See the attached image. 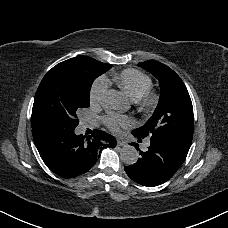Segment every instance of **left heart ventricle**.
Returning <instances> with one entry per match:
<instances>
[{
  "label": "left heart ventricle",
  "instance_id": "left-heart-ventricle-1",
  "mask_svg": "<svg viewBox=\"0 0 228 228\" xmlns=\"http://www.w3.org/2000/svg\"><path fill=\"white\" fill-rule=\"evenodd\" d=\"M129 108H130V104H129ZM129 108L127 110H120V109H115L119 114L121 115H125L128 113Z\"/></svg>",
  "mask_w": 228,
  "mask_h": 228
}]
</instances>
